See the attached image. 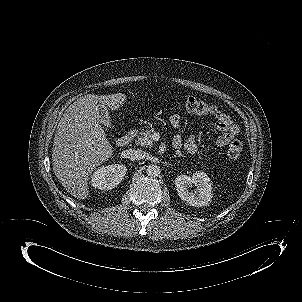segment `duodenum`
Returning <instances> with one entry per match:
<instances>
[{"label": "duodenum", "mask_w": 302, "mask_h": 302, "mask_svg": "<svg viewBox=\"0 0 302 302\" xmlns=\"http://www.w3.org/2000/svg\"><path fill=\"white\" fill-rule=\"evenodd\" d=\"M136 134L137 130L135 128L130 129L124 136L118 139V145L124 147L130 144L135 138ZM175 146L179 147L177 142L175 143Z\"/></svg>", "instance_id": "duodenum-1"}]
</instances>
